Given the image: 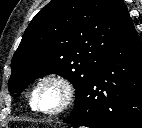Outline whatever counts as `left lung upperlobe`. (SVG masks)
Instances as JSON below:
<instances>
[{"mask_svg": "<svg viewBox=\"0 0 142 128\" xmlns=\"http://www.w3.org/2000/svg\"><path fill=\"white\" fill-rule=\"evenodd\" d=\"M136 30L122 0H52L32 19L11 63L10 93L59 74L75 87V107L107 53Z\"/></svg>", "mask_w": 142, "mask_h": 128, "instance_id": "5c2ea615", "label": "left lung upper lobe"}]
</instances>
